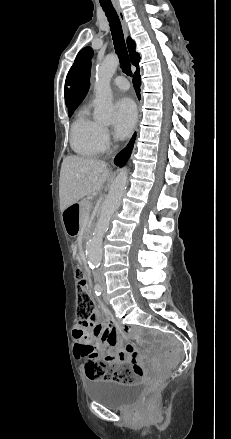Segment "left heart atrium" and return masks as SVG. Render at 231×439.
<instances>
[{"instance_id": "39dd6f15", "label": "left heart atrium", "mask_w": 231, "mask_h": 439, "mask_svg": "<svg viewBox=\"0 0 231 439\" xmlns=\"http://www.w3.org/2000/svg\"><path fill=\"white\" fill-rule=\"evenodd\" d=\"M114 130L118 138H126L132 132L137 113L133 102L126 97L119 99L114 106Z\"/></svg>"}]
</instances>
